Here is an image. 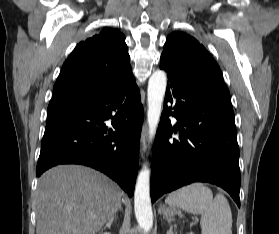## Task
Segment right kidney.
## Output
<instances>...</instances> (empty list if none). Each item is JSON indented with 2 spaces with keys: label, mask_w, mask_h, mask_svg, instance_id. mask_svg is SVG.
Instances as JSON below:
<instances>
[{
  "label": "right kidney",
  "mask_w": 279,
  "mask_h": 234,
  "mask_svg": "<svg viewBox=\"0 0 279 234\" xmlns=\"http://www.w3.org/2000/svg\"><path fill=\"white\" fill-rule=\"evenodd\" d=\"M103 234H111V233H109V232H104Z\"/></svg>",
  "instance_id": "1"
}]
</instances>
